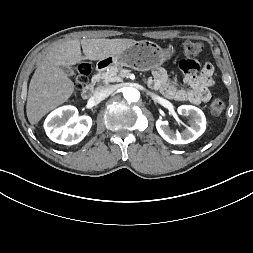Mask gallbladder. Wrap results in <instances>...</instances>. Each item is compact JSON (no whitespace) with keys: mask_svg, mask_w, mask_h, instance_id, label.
<instances>
[{"mask_svg":"<svg viewBox=\"0 0 253 253\" xmlns=\"http://www.w3.org/2000/svg\"><path fill=\"white\" fill-rule=\"evenodd\" d=\"M62 69L68 76H72L74 74L73 70L68 66L62 67Z\"/></svg>","mask_w":253,"mask_h":253,"instance_id":"obj_1","label":"gallbladder"}]
</instances>
